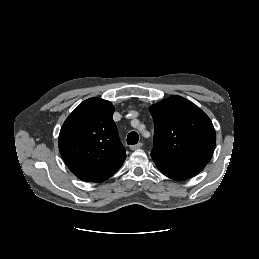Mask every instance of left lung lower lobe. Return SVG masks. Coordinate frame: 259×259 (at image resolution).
<instances>
[{"instance_id": "left-lung-lower-lobe-1", "label": "left lung lower lobe", "mask_w": 259, "mask_h": 259, "mask_svg": "<svg viewBox=\"0 0 259 259\" xmlns=\"http://www.w3.org/2000/svg\"><path fill=\"white\" fill-rule=\"evenodd\" d=\"M151 156L164 175L177 181L186 180L197 175L206 166L205 163L200 162H180L166 159L156 154H151Z\"/></svg>"}]
</instances>
